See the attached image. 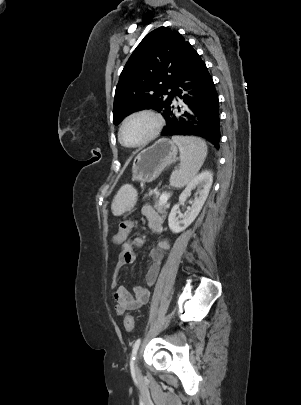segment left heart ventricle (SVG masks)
Segmentation results:
<instances>
[{
  "mask_svg": "<svg viewBox=\"0 0 301 405\" xmlns=\"http://www.w3.org/2000/svg\"><path fill=\"white\" fill-rule=\"evenodd\" d=\"M154 121L146 116L130 120L124 127L122 139L128 145H134L144 140L153 130Z\"/></svg>",
  "mask_w": 301,
  "mask_h": 405,
  "instance_id": "obj_1",
  "label": "left heart ventricle"
}]
</instances>
